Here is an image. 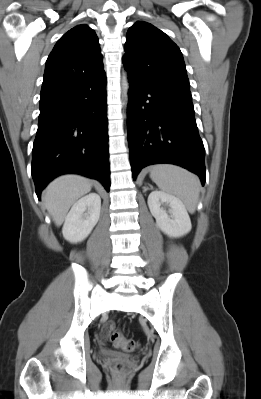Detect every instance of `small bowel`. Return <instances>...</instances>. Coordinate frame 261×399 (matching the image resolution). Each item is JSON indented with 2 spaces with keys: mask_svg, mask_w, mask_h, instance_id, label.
I'll use <instances>...</instances> for the list:
<instances>
[{
  "mask_svg": "<svg viewBox=\"0 0 261 399\" xmlns=\"http://www.w3.org/2000/svg\"><path fill=\"white\" fill-rule=\"evenodd\" d=\"M113 325L112 322H107L106 324L103 325L102 329H101V334L102 336L106 337L107 334L110 331L111 326Z\"/></svg>",
  "mask_w": 261,
  "mask_h": 399,
  "instance_id": "c3829d8e",
  "label": "small bowel"
}]
</instances>
